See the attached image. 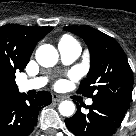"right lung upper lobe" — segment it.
<instances>
[{
    "instance_id": "obj_1",
    "label": "right lung upper lobe",
    "mask_w": 136,
    "mask_h": 136,
    "mask_svg": "<svg viewBox=\"0 0 136 136\" xmlns=\"http://www.w3.org/2000/svg\"><path fill=\"white\" fill-rule=\"evenodd\" d=\"M51 30L18 24L0 27V100L18 94L15 72L24 70L36 43Z\"/></svg>"
}]
</instances>
